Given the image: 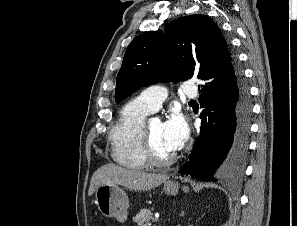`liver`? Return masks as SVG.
<instances>
[{"instance_id":"liver-1","label":"liver","mask_w":297,"mask_h":226,"mask_svg":"<svg viewBox=\"0 0 297 226\" xmlns=\"http://www.w3.org/2000/svg\"><path fill=\"white\" fill-rule=\"evenodd\" d=\"M168 176L126 169L108 163L96 170L91 178L88 195L91 196L100 185L118 184L130 190L147 191L163 183Z\"/></svg>"}]
</instances>
